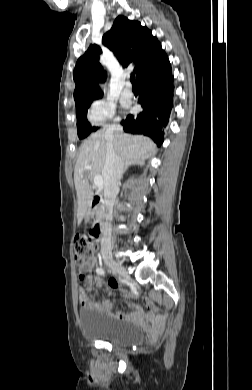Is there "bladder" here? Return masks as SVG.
<instances>
[{
	"label": "bladder",
	"mask_w": 252,
	"mask_h": 390,
	"mask_svg": "<svg viewBox=\"0 0 252 390\" xmlns=\"http://www.w3.org/2000/svg\"><path fill=\"white\" fill-rule=\"evenodd\" d=\"M82 334L87 339L101 340L120 347H132L144 338V329L129 321L106 317L101 314H80Z\"/></svg>",
	"instance_id": "31cf9c89"
}]
</instances>
